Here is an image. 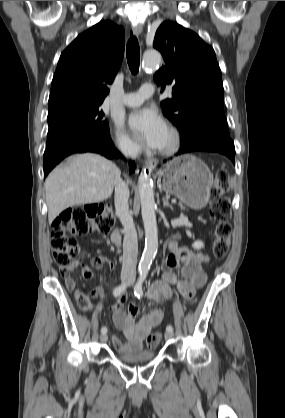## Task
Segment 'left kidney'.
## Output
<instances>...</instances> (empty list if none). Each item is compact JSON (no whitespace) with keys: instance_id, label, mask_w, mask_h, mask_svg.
Listing matches in <instances>:
<instances>
[{"instance_id":"5707ae66","label":"left kidney","mask_w":285,"mask_h":418,"mask_svg":"<svg viewBox=\"0 0 285 418\" xmlns=\"http://www.w3.org/2000/svg\"><path fill=\"white\" fill-rule=\"evenodd\" d=\"M192 247L196 250L202 249L204 247V243L200 240L195 241L192 245Z\"/></svg>"}]
</instances>
